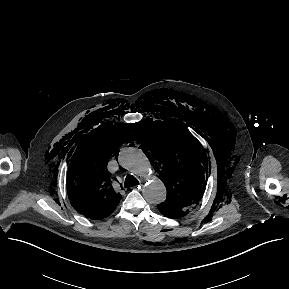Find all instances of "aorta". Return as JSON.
<instances>
[{
	"label": "aorta",
	"instance_id": "762f6f07",
	"mask_svg": "<svg viewBox=\"0 0 289 289\" xmlns=\"http://www.w3.org/2000/svg\"><path fill=\"white\" fill-rule=\"evenodd\" d=\"M118 160L121 166L145 181L143 196L148 203L159 204L165 201L166 187L156 176L150 161L140 149L125 148L120 152Z\"/></svg>",
	"mask_w": 289,
	"mask_h": 289
}]
</instances>
